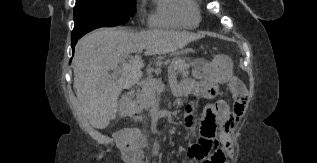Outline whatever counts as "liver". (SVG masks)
Returning <instances> with one entry per match:
<instances>
[{"label":"liver","mask_w":317,"mask_h":163,"mask_svg":"<svg viewBox=\"0 0 317 163\" xmlns=\"http://www.w3.org/2000/svg\"><path fill=\"white\" fill-rule=\"evenodd\" d=\"M201 38L187 31L106 27L83 36L75 47L73 88L90 125L104 129L115 118L121 91L142 78L143 50L146 56L166 54ZM110 70L117 73L109 74Z\"/></svg>","instance_id":"obj_1"}]
</instances>
